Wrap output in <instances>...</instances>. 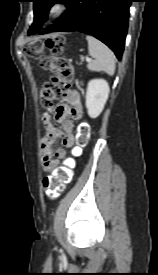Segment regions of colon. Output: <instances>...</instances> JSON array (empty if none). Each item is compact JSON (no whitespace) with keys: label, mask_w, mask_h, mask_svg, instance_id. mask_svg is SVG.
Wrapping results in <instances>:
<instances>
[{"label":"colon","mask_w":158,"mask_h":275,"mask_svg":"<svg viewBox=\"0 0 158 275\" xmlns=\"http://www.w3.org/2000/svg\"><path fill=\"white\" fill-rule=\"evenodd\" d=\"M64 49L62 36H51L45 40H33L25 46V51L33 59L39 60L41 67L51 73L53 78L41 88L42 105L49 109L68 88V79L73 74V66L67 58L61 56ZM48 50L51 55H44ZM90 129L87 124L79 128L78 146L86 144ZM73 174V161L57 167L42 180L44 193L51 199L57 198L70 183Z\"/></svg>","instance_id":"1"}]
</instances>
